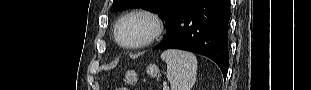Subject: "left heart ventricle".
<instances>
[{
	"instance_id": "1",
	"label": "left heart ventricle",
	"mask_w": 311,
	"mask_h": 90,
	"mask_svg": "<svg viewBox=\"0 0 311 90\" xmlns=\"http://www.w3.org/2000/svg\"><path fill=\"white\" fill-rule=\"evenodd\" d=\"M150 31L149 23L141 18H131L126 20L119 29L121 41L129 43L141 40Z\"/></svg>"
}]
</instances>
